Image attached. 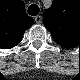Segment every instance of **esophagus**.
<instances>
[{"label": "esophagus", "instance_id": "obj_1", "mask_svg": "<svg viewBox=\"0 0 80 80\" xmlns=\"http://www.w3.org/2000/svg\"><path fill=\"white\" fill-rule=\"evenodd\" d=\"M34 20H35L36 23H39L40 24L42 22V17L40 15H38V16H36L34 18Z\"/></svg>", "mask_w": 80, "mask_h": 80}]
</instances>
